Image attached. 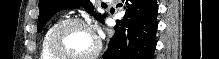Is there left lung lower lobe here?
Here are the masks:
<instances>
[{
	"label": "left lung lower lobe",
	"instance_id": "1",
	"mask_svg": "<svg viewBox=\"0 0 219 59\" xmlns=\"http://www.w3.org/2000/svg\"><path fill=\"white\" fill-rule=\"evenodd\" d=\"M125 18L117 21L104 59H154L158 27L156 0H126Z\"/></svg>",
	"mask_w": 219,
	"mask_h": 59
}]
</instances>
